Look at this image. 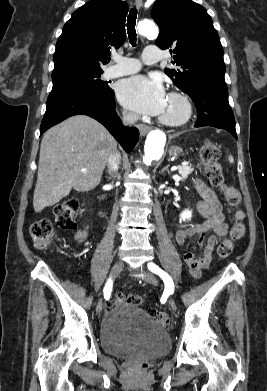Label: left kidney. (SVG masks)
<instances>
[{
    "instance_id": "1",
    "label": "left kidney",
    "mask_w": 267,
    "mask_h": 391,
    "mask_svg": "<svg viewBox=\"0 0 267 391\" xmlns=\"http://www.w3.org/2000/svg\"><path fill=\"white\" fill-rule=\"evenodd\" d=\"M191 217H192V211H190L189 209H186L180 214V219H182L183 221L190 220Z\"/></svg>"
}]
</instances>
